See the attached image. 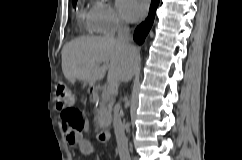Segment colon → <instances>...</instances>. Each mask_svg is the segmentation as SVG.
Masks as SVG:
<instances>
[{
  "label": "colon",
  "instance_id": "colon-1",
  "mask_svg": "<svg viewBox=\"0 0 242 160\" xmlns=\"http://www.w3.org/2000/svg\"><path fill=\"white\" fill-rule=\"evenodd\" d=\"M56 107L61 110V118L67 122L74 131H81L85 125V119L80 110L71 106L72 93L68 85L59 81L56 85Z\"/></svg>",
  "mask_w": 242,
  "mask_h": 160
}]
</instances>
